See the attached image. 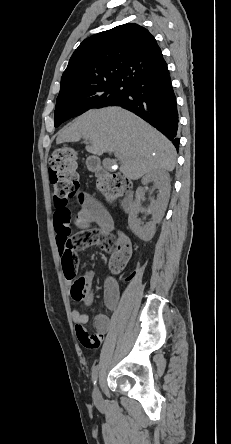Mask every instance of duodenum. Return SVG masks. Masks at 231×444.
Returning <instances> with one entry per match:
<instances>
[{
  "label": "duodenum",
  "instance_id": "duodenum-1",
  "mask_svg": "<svg viewBox=\"0 0 231 444\" xmlns=\"http://www.w3.org/2000/svg\"><path fill=\"white\" fill-rule=\"evenodd\" d=\"M105 174L106 173L104 171H101V175H105ZM131 204H132V196L130 194H128L124 198L122 205H123L124 209H128L131 206Z\"/></svg>",
  "mask_w": 231,
  "mask_h": 444
}]
</instances>
